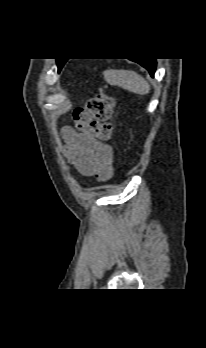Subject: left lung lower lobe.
Listing matches in <instances>:
<instances>
[{"label":"left lung lower lobe","instance_id":"obj_1","mask_svg":"<svg viewBox=\"0 0 206 348\" xmlns=\"http://www.w3.org/2000/svg\"><path fill=\"white\" fill-rule=\"evenodd\" d=\"M137 63H139L140 65H142L143 67H145L150 75L152 77H154V72L156 69V60L155 59H141V60H133Z\"/></svg>","mask_w":206,"mask_h":348}]
</instances>
